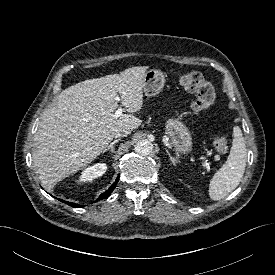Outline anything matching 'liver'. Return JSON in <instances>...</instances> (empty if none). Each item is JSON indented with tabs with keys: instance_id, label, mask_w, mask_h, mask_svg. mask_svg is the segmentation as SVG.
<instances>
[{
	"instance_id": "liver-1",
	"label": "liver",
	"mask_w": 275,
	"mask_h": 275,
	"mask_svg": "<svg viewBox=\"0 0 275 275\" xmlns=\"http://www.w3.org/2000/svg\"><path fill=\"white\" fill-rule=\"evenodd\" d=\"M147 66L85 80L63 90L41 118L34 138L33 164L44 188L51 190L65 177L99 156L121 129L134 130L142 120L132 115L143 105ZM118 93L131 114L115 117Z\"/></svg>"
}]
</instances>
